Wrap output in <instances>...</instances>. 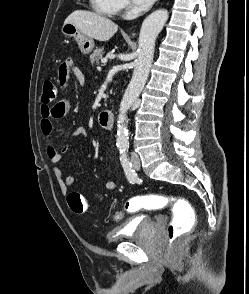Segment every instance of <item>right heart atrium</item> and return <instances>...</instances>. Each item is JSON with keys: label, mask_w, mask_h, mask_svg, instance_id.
I'll return each instance as SVG.
<instances>
[{"label": "right heart atrium", "mask_w": 249, "mask_h": 294, "mask_svg": "<svg viewBox=\"0 0 249 294\" xmlns=\"http://www.w3.org/2000/svg\"><path fill=\"white\" fill-rule=\"evenodd\" d=\"M119 11H125L129 8L128 0H117Z\"/></svg>", "instance_id": "1"}]
</instances>
